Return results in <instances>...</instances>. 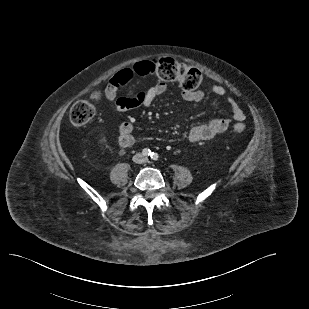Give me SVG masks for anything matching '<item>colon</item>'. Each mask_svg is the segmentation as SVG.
<instances>
[{"mask_svg": "<svg viewBox=\"0 0 309 309\" xmlns=\"http://www.w3.org/2000/svg\"><path fill=\"white\" fill-rule=\"evenodd\" d=\"M154 73L163 81L176 82L183 91H194L202 83L200 71L190 65L179 62L173 58L165 57L151 61ZM100 94L95 92L91 99L96 101ZM95 106L91 101L81 100L76 102L70 109L69 118L72 124L84 126L95 116ZM237 133L245 130L243 123H236L233 127Z\"/></svg>", "mask_w": 309, "mask_h": 309, "instance_id": "colon-1", "label": "colon"}]
</instances>
